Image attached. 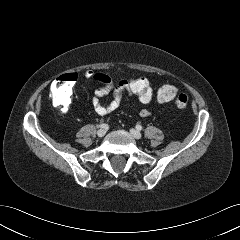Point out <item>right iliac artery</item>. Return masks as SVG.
Listing matches in <instances>:
<instances>
[{
	"instance_id": "obj_1",
	"label": "right iliac artery",
	"mask_w": 240,
	"mask_h": 240,
	"mask_svg": "<svg viewBox=\"0 0 240 240\" xmlns=\"http://www.w3.org/2000/svg\"><path fill=\"white\" fill-rule=\"evenodd\" d=\"M99 127H101V128H108V125L107 124H100Z\"/></svg>"
}]
</instances>
